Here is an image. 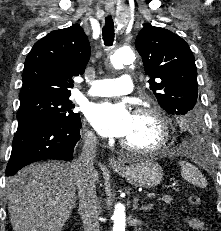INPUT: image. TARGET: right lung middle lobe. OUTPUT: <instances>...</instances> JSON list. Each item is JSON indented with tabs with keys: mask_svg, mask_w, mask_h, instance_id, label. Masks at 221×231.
Wrapping results in <instances>:
<instances>
[{
	"mask_svg": "<svg viewBox=\"0 0 221 231\" xmlns=\"http://www.w3.org/2000/svg\"><path fill=\"white\" fill-rule=\"evenodd\" d=\"M69 97L38 95L20 99L17 113L18 123L38 116H52L67 121L79 120L80 115L72 111L74 104L69 100Z\"/></svg>",
	"mask_w": 221,
	"mask_h": 231,
	"instance_id": "right-lung-middle-lobe-1",
	"label": "right lung middle lobe"
}]
</instances>
